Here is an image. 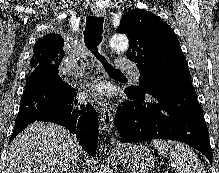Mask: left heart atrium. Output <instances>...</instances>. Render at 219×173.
<instances>
[{"label":"left heart atrium","instance_id":"1","mask_svg":"<svg viewBox=\"0 0 219 173\" xmlns=\"http://www.w3.org/2000/svg\"><path fill=\"white\" fill-rule=\"evenodd\" d=\"M108 94V91L104 85H96V86H91L87 88L83 92V96L86 98H94V99H101L104 96Z\"/></svg>","mask_w":219,"mask_h":173}]
</instances>
